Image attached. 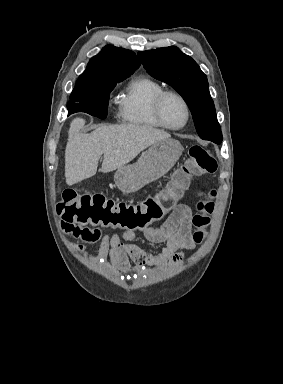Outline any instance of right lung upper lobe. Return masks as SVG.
I'll list each match as a JSON object with an SVG mask.
<instances>
[{
	"label": "right lung upper lobe",
	"mask_w": 283,
	"mask_h": 384,
	"mask_svg": "<svg viewBox=\"0 0 283 384\" xmlns=\"http://www.w3.org/2000/svg\"><path fill=\"white\" fill-rule=\"evenodd\" d=\"M139 66L140 63L134 52L107 45L98 55L91 58L74 89L121 82Z\"/></svg>",
	"instance_id": "cb5924a9"
}]
</instances>
